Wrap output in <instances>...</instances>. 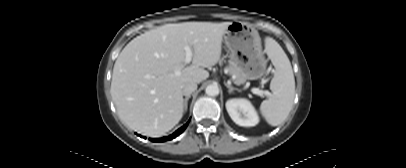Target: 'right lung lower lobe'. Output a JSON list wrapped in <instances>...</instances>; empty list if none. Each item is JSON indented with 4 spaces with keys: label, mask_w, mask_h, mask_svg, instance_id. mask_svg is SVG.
Masks as SVG:
<instances>
[{
    "label": "right lung lower lobe",
    "mask_w": 406,
    "mask_h": 168,
    "mask_svg": "<svg viewBox=\"0 0 406 168\" xmlns=\"http://www.w3.org/2000/svg\"><path fill=\"white\" fill-rule=\"evenodd\" d=\"M188 124H189V121L185 125H183L181 128H179L176 132L171 134L170 136L163 137V138H155V139H150V140L153 142H163V141H167V140H172L173 138H176L178 135H180L185 130V128L187 127Z\"/></svg>",
    "instance_id": "right-lung-lower-lobe-1"
}]
</instances>
